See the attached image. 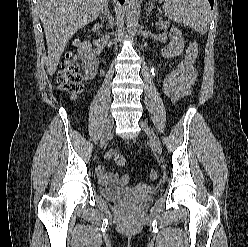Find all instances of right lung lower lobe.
Here are the masks:
<instances>
[{
	"label": "right lung lower lobe",
	"instance_id": "right-lung-lower-lobe-1",
	"mask_svg": "<svg viewBox=\"0 0 248 247\" xmlns=\"http://www.w3.org/2000/svg\"><path fill=\"white\" fill-rule=\"evenodd\" d=\"M120 1V3H123L124 2V0H119Z\"/></svg>",
	"mask_w": 248,
	"mask_h": 247
}]
</instances>
